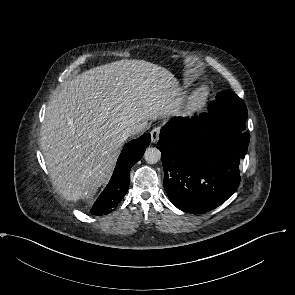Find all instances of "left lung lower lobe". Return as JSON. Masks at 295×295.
<instances>
[{"instance_id":"obj_1","label":"left lung lower lobe","mask_w":295,"mask_h":295,"mask_svg":"<svg viewBox=\"0 0 295 295\" xmlns=\"http://www.w3.org/2000/svg\"><path fill=\"white\" fill-rule=\"evenodd\" d=\"M249 143L245 122L210 112L174 117L161 128L158 148L170 201L192 214L208 212L238 188Z\"/></svg>"}]
</instances>
